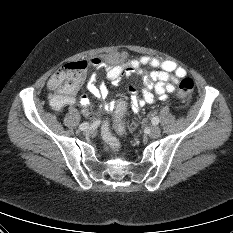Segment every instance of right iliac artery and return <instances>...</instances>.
Here are the masks:
<instances>
[{"label":"right iliac artery","mask_w":233,"mask_h":233,"mask_svg":"<svg viewBox=\"0 0 233 233\" xmlns=\"http://www.w3.org/2000/svg\"><path fill=\"white\" fill-rule=\"evenodd\" d=\"M89 127V123L87 122H84L82 123L80 126H79V129L82 130V129H87Z\"/></svg>","instance_id":"right-iliac-artery-1"}]
</instances>
